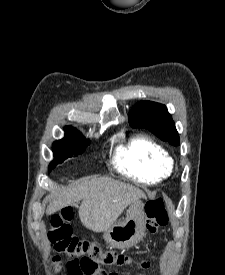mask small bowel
<instances>
[{
	"label": "small bowel",
	"mask_w": 225,
	"mask_h": 275,
	"mask_svg": "<svg viewBox=\"0 0 225 275\" xmlns=\"http://www.w3.org/2000/svg\"><path fill=\"white\" fill-rule=\"evenodd\" d=\"M98 275H109V274L104 270H99ZM138 275H142V274H138Z\"/></svg>",
	"instance_id": "1"
}]
</instances>
